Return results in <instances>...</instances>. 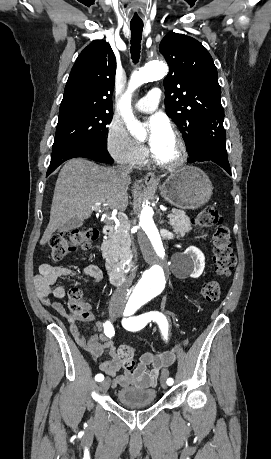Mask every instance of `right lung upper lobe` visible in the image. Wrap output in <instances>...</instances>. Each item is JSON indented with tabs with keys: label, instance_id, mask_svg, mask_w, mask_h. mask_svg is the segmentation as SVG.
Listing matches in <instances>:
<instances>
[{
	"label": "right lung upper lobe",
	"instance_id": "1",
	"mask_svg": "<svg viewBox=\"0 0 271 459\" xmlns=\"http://www.w3.org/2000/svg\"><path fill=\"white\" fill-rule=\"evenodd\" d=\"M115 73L116 58L110 45L104 40L90 43L72 67L59 113L113 112Z\"/></svg>",
	"mask_w": 271,
	"mask_h": 459
}]
</instances>
